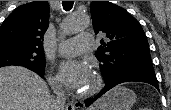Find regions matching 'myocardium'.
Listing matches in <instances>:
<instances>
[{
	"label": "myocardium",
	"mask_w": 171,
	"mask_h": 110,
	"mask_svg": "<svg viewBox=\"0 0 171 110\" xmlns=\"http://www.w3.org/2000/svg\"><path fill=\"white\" fill-rule=\"evenodd\" d=\"M93 85L91 86L90 89H88L87 91L81 92L78 97L79 98H88L91 97L93 95H95L96 93H98L100 91V89L102 88V79L98 74H94L93 75Z\"/></svg>",
	"instance_id": "f54148a6"
}]
</instances>
